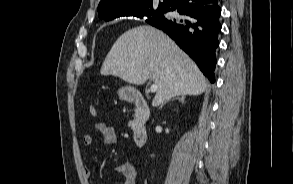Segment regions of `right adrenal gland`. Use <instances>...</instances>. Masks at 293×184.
Returning a JSON list of instances; mask_svg holds the SVG:
<instances>
[{
	"mask_svg": "<svg viewBox=\"0 0 293 184\" xmlns=\"http://www.w3.org/2000/svg\"><path fill=\"white\" fill-rule=\"evenodd\" d=\"M174 99H177V100H179V102L183 103V102L185 101V96L182 95V96H180V97H176V98H174ZM174 99H173V100H174ZM162 106H163V105H161L160 108H162Z\"/></svg>",
	"mask_w": 293,
	"mask_h": 184,
	"instance_id": "2a0ac1e0",
	"label": "right adrenal gland"
}]
</instances>
